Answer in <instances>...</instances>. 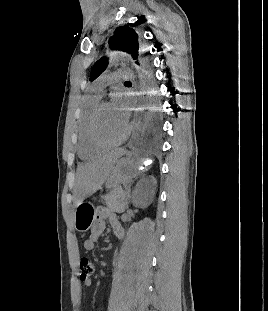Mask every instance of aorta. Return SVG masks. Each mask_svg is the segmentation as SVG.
<instances>
[{"label": "aorta", "instance_id": "obj_1", "mask_svg": "<svg viewBox=\"0 0 268 311\" xmlns=\"http://www.w3.org/2000/svg\"><path fill=\"white\" fill-rule=\"evenodd\" d=\"M130 73H133V70H130ZM132 77H135V74H132Z\"/></svg>", "mask_w": 268, "mask_h": 311}]
</instances>
